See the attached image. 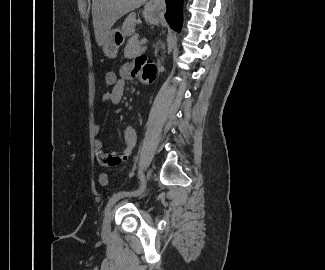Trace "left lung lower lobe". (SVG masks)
<instances>
[{
    "label": "left lung lower lobe",
    "instance_id": "0a47b994",
    "mask_svg": "<svg viewBox=\"0 0 325 270\" xmlns=\"http://www.w3.org/2000/svg\"><path fill=\"white\" fill-rule=\"evenodd\" d=\"M167 12L165 18L170 27L176 31H180L181 28V0H166Z\"/></svg>",
    "mask_w": 325,
    "mask_h": 270
}]
</instances>
